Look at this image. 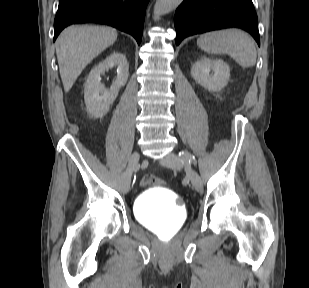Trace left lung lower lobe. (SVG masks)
I'll return each instance as SVG.
<instances>
[{
    "label": "left lung lower lobe",
    "mask_w": 309,
    "mask_h": 288,
    "mask_svg": "<svg viewBox=\"0 0 309 288\" xmlns=\"http://www.w3.org/2000/svg\"><path fill=\"white\" fill-rule=\"evenodd\" d=\"M174 24L177 45L187 36L239 27L248 31L260 46L252 0H184L176 10Z\"/></svg>",
    "instance_id": "1"
}]
</instances>
